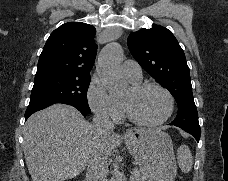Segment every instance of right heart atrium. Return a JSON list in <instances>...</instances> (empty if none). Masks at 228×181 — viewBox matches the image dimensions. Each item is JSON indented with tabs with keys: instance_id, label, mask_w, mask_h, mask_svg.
Listing matches in <instances>:
<instances>
[{
	"instance_id": "d8ad5b80",
	"label": "right heart atrium",
	"mask_w": 228,
	"mask_h": 181,
	"mask_svg": "<svg viewBox=\"0 0 228 181\" xmlns=\"http://www.w3.org/2000/svg\"><path fill=\"white\" fill-rule=\"evenodd\" d=\"M90 108L100 117L120 122L123 117L122 103L110 94L103 81L93 79L88 88Z\"/></svg>"
}]
</instances>
